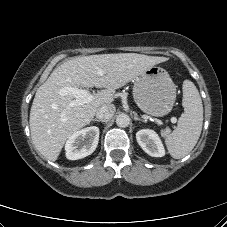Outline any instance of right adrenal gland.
Masks as SVG:
<instances>
[{
	"instance_id": "right-adrenal-gland-1",
	"label": "right adrenal gland",
	"mask_w": 227,
	"mask_h": 227,
	"mask_svg": "<svg viewBox=\"0 0 227 227\" xmlns=\"http://www.w3.org/2000/svg\"><path fill=\"white\" fill-rule=\"evenodd\" d=\"M92 121H93V122H102V121H100V120L97 119V118H94Z\"/></svg>"
}]
</instances>
